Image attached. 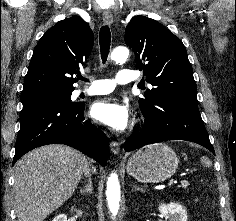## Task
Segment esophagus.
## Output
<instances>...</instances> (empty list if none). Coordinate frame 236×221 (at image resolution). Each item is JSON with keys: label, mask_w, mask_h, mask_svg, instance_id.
Here are the masks:
<instances>
[{"label": "esophagus", "mask_w": 236, "mask_h": 221, "mask_svg": "<svg viewBox=\"0 0 236 221\" xmlns=\"http://www.w3.org/2000/svg\"><path fill=\"white\" fill-rule=\"evenodd\" d=\"M103 22L105 24H112L113 23V15L110 11L106 10L103 12ZM110 150L112 153H114L115 155H117L120 151V145L118 142L116 141H112L110 144Z\"/></svg>", "instance_id": "1"}]
</instances>
